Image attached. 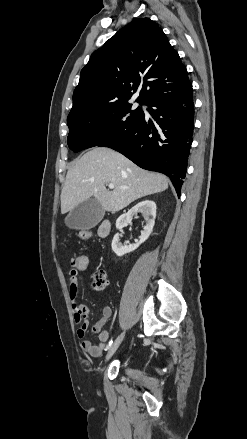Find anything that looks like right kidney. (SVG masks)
I'll use <instances>...</instances> for the list:
<instances>
[{
  "label": "right kidney",
  "instance_id": "1",
  "mask_svg": "<svg viewBox=\"0 0 247 439\" xmlns=\"http://www.w3.org/2000/svg\"><path fill=\"white\" fill-rule=\"evenodd\" d=\"M156 209L157 207L154 201L144 200L136 204L134 207L128 210V212L119 216V218L116 220V228L119 230L131 223L133 216L137 213L142 214L146 221V225L143 227V231H141L140 241L134 245H123L120 242L119 234L117 233L114 235L111 246L113 252L117 256H123L126 253L134 251L140 246V244L149 238L155 224Z\"/></svg>",
  "mask_w": 247,
  "mask_h": 439
}]
</instances>
